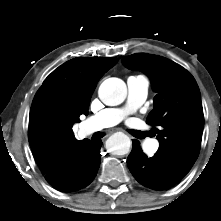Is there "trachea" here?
Instances as JSON below:
<instances>
[{
  "mask_svg": "<svg viewBox=\"0 0 221 221\" xmlns=\"http://www.w3.org/2000/svg\"><path fill=\"white\" fill-rule=\"evenodd\" d=\"M104 136H105L104 133H102V132H96V133L93 134L92 140H97V139H100V138H102V137H104Z\"/></svg>",
  "mask_w": 221,
  "mask_h": 221,
  "instance_id": "1",
  "label": "trachea"
}]
</instances>
